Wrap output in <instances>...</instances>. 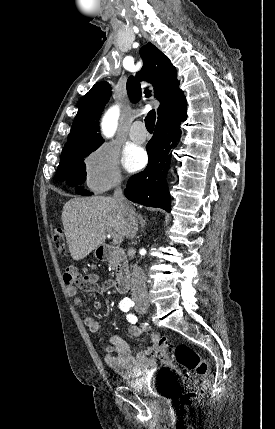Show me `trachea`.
Masks as SVG:
<instances>
[{"label":"trachea","instance_id":"obj_1","mask_svg":"<svg viewBox=\"0 0 275 429\" xmlns=\"http://www.w3.org/2000/svg\"><path fill=\"white\" fill-rule=\"evenodd\" d=\"M145 94H146V97H149L150 96V90L146 89ZM155 120H156V113H155V110L152 109L149 111V113L145 117V126H146L148 131H150V132L153 131L154 125H155Z\"/></svg>","mask_w":275,"mask_h":429}]
</instances>
